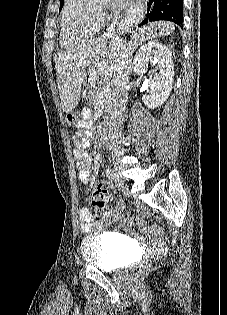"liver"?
<instances>
[{
    "mask_svg": "<svg viewBox=\"0 0 227 315\" xmlns=\"http://www.w3.org/2000/svg\"><path fill=\"white\" fill-rule=\"evenodd\" d=\"M174 30V23L158 21L133 32L129 43L120 36H103L58 53L54 61L63 111L69 113L78 105L81 86L87 74L113 76L114 68L121 54L125 52L124 48L130 52L134 43L142 44L150 39L168 36ZM128 60L131 62L130 56Z\"/></svg>",
    "mask_w": 227,
    "mask_h": 315,
    "instance_id": "liver-1",
    "label": "liver"
}]
</instances>
